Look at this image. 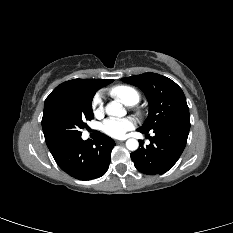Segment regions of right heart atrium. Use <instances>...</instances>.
Returning <instances> with one entry per match:
<instances>
[{"instance_id":"d8ad5b80","label":"right heart atrium","mask_w":233,"mask_h":233,"mask_svg":"<svg viewBox=\"0 0 233 233\" xmlns=\"http://www.w3.org/2000/svg\"><path fill=\"white\" fill-rule=\"evenodd\" d=\"M91 107L96 116H101L104 113V101L101 93L95 94L92 99Z\"/></svg>"}]
</instances>
